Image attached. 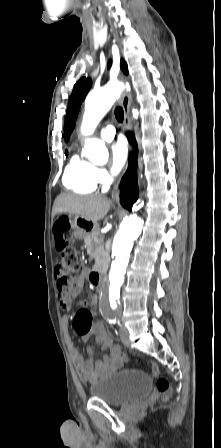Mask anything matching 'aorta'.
I'll use <instances>...</instances> for the list:
<instances>
[{
  "instance_id": "obj_1",
  "label": "aorta",
  "mask_w": 221,
  "mask_h": 448,
  "mask_svg": "<svg viewBox=\"0 0 221 448\" xmlns=\"http://www.w3.org/2000/svg\"><path fill=\"white\" fill-rule=\"evenodd\" d=\"M124 89L122 83H108L100 90L90 93L85 102L81 132L83 135L91 134L99 121L110 110L113 103ZM84 155L93 163L103 165L108 161V150L102 141L85 139ZM143 221L136 215L126 217L112 243V254L115 257L110 273L109 282L104 289L109 309L115 310L120 298V288L124 281V275L129 261L130 252L135 239L140 235Z\"/></svg>"
}]
</instances>
